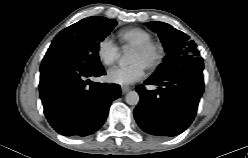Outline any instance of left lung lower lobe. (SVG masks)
I'll return each mask as SVG.
<instances>
[{"label":"left lung lower lobe","instance_id":"1","mask_svg":"<svg viewBox=\"0 0 248 158\" xmlns=\"http://www.w3.org/2000/svg\"><path fill=\"white\" fill-rule=\"evenodd\" d=\"M203 62L187 61L163 77H150L144 84L156 90L136 87L140 102L134 110L140 128L156 136H176L193 121L204 90Z\"/></svg>","mask_w":248,"mask_h":158}]
</instances>
